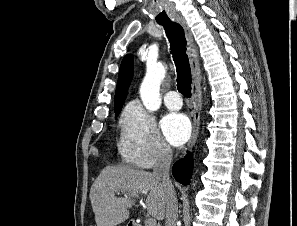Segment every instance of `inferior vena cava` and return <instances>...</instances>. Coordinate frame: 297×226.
Instances as JSON below:
<instances>
[{"mask_svg":"<svg viewBox=\"0 0 297 226\" xmlns=\"http://www.w3.org/2000/svg\"><path fill=\"white\" fill-rule=\"evenodd\" d=\"M172 162L171 148L163 144L160 146L153 167V175L161 180L166 188V226H176L178 218V202L173 184L170 180L169 169Z\"/></svg>","mask_w":297,"mask_h":226,"instance_id":"inferior-vena-cava-1","label":"inferior vena cava"}]
</instances>
